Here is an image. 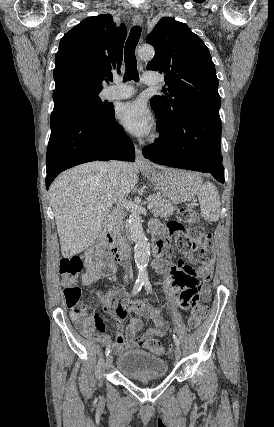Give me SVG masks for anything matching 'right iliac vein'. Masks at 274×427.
I'll list each match as a JSON object with an SVG mask.
<instances>
[{"instance_id": "63e3f726", "label": "right iliac vein", "mask_w": 274, "mask_h": 427, "mask_svg": "<svg viewBox=\"0 0 274 427\" xmlns=\"http://www.w3.org/2000/svg\"><path fill=\"white\" fill-rule=\"evenodd\" d=\"M112 362H113V356H112V354H109L106 357V367L110 368L112 366Z\"/></svg>"}]
</instances>
